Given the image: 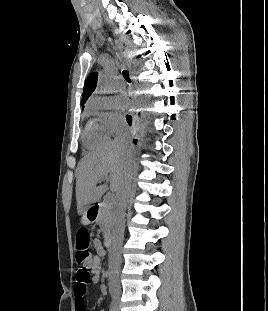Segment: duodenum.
<instances>
[{
    "label": "duodenum",
    "instance_id": "1",
    "mask_svg": "<svg viewBox=\"0 0 268 311\" xmlns=\"http://www.w3.org/2000/svg\"><path fill=\"white\" fill-rule=\"evenodd\" d=\"M98 209H99V206L98 205H94L90 211H89V214L90 216H95L98 212ZM105 246L107 248L108 251H112L113 250V247H114V240L112 237H109L106 239L105 241Z\"/></svg>",
    "mask_w": 268,
    "mask_h": 311
}]
</instances>
